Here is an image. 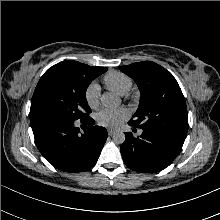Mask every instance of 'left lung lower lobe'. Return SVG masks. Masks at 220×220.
<instances>
[{"instance_id":"1","label":"left lung lower lobe","mask_w":220,"mask_h":220,"mask_svg":"<svg viewBox=\"0 0 220 220\" xmlns=\"http://www.w3.org/2000/svg\"><path fill=\"white\" fill-rule=\"evenodd\" d=\"M125 136L120 148L125 164L133 171L144 173H154L168 167L180 153L184 143L156 130L143 129L139 137H133L130 132L125 133Z\"/></svg>"}]
</instances>
